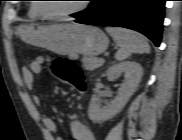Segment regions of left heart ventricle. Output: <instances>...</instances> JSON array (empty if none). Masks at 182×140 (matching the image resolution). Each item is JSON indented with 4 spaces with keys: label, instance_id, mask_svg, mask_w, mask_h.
<instances>
[{
    "label": "left heart ventricle",
    "instance_id": "obj_1",
    "mask_svg": "<svg viewBox=\"0 0 182 140\" xmlns=\"http://www.w3.org/2000/svg\"><path fill=\"white\" fill-rule=\"evenodd\" d=\"M80 1L76 0H49L40 5V8L45 13H62L71 11L80 6Z\"/></svg>",
    "mask_w": 182,
    "mask_h": 140
}]
</instances>
